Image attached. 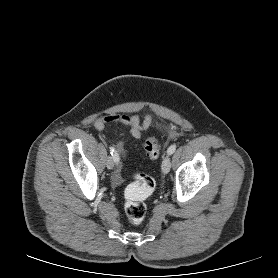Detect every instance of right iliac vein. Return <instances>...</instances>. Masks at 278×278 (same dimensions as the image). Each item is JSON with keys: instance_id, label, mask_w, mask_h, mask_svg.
I'll use <instances>...</instances> for the list:
<instances>
[{"instance_id": "right-iliac-vein-1", "label": "right iliac vein", "mask_w": 278, "mask_h": 278, "mask_svg": "<svg viewBox=\"0 0 278 278\" xmlns=\"http://www.w3.org/2000/svg\"><path fill=\"white\" fill-rule=\"evenodd\" d=\"M106 166L108 169H112L114 167V160L112 157H108L106 160Z\"/></svg>"}]
</instances>
